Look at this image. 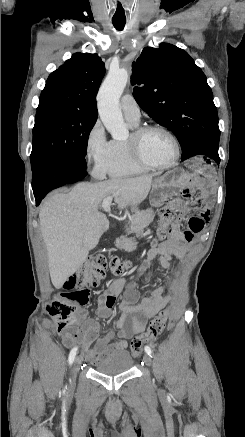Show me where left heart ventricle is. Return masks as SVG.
Segmentation results:
<instances>
[{"instance_id":"b2bd125f","label":"left heart ventricle","mask_w":245,"mask_h":437,"mask_svg":"<svg viewBox=\"0 0 245 437\" xmlns=\"http://www.w3.org/2000/svg\"><path fill=\"white\" fill-rule=\"evenodd\" d=\"M139 149L144 159L155 164L169 163L175 154L172 141L158 130L146 132L140 138Z\"/></svg>"}]
</instances>
